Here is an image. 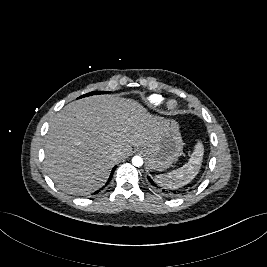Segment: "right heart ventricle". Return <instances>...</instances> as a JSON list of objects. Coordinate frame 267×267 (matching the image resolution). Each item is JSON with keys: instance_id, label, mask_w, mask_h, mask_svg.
I'll return each mask as SVG.
<instances>
[{"instance_id": "obj_1", "label": "right heart ventricle", "mask_w": 267, "mask_h": 267, "mask_svg": "<svg viewBox=\"0 0 267 267\" xmlns=\"http://www.w3.org/2000/svg\"><path fill=\"white\" fill-rule=\"evenodd\" d=\"M163 99L161 96L159 95H151L149 98H148V103L150 106L152 107H157L159 106L161 103H162Z\"/></svg>"}]
</instances>
